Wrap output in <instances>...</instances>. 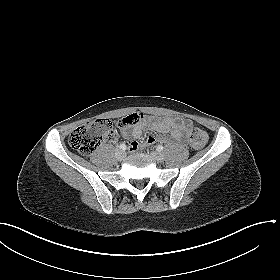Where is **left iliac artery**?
I'll use <instances>...</instances> for the list:
<instances>
[{
    "label": "left iliac artery",
    "instance_id": "44dca946",
    "mask_svg": "<svg viewBox=\"0 0 280 280\" xmlns=\"http://www.w3.org/2000/svg\"><path fill=\"white\" fill-rule=\"evenodd\" d=\"M157 150L158 151H162L163 150V146L162 145L157 146Z\"/></svg>",
    "mask_w": 280,
    "mask_h": 280
}]
</instances>
